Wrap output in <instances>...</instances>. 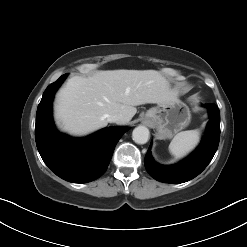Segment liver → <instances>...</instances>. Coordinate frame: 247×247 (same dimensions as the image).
Returning a JSON list of instances; mask_svg holds the SVG:
<instances>
[{"label":"liver","mask_w":247,"mask_h":247,"mask_svg":"<svg viewBox=\"0 0 247 247\" xmlns=\"http://www.w3.org/2000/svg\"><path fill=\"white\" fill-rule=\"evenodd\" d=\"M177 91L155 70H107L91 77L73 76L57 94L55 118L72 135H86L108 124L120 113L129 122L135 106L174 101Z\"/></svg>","instance_id":"6515ba94"}]
</instances>
